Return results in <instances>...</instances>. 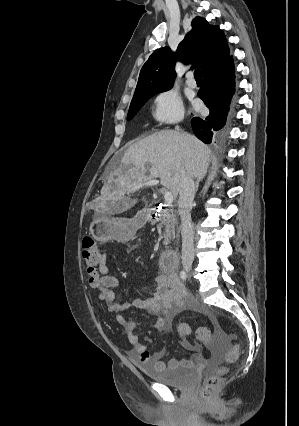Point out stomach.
Wrapping results in <instances>:
<instances>
[{"instance_id":"1","label":"stomach","mask_w":299,"mask_h":426,"mask_svg":"<svg viewBox=\"0 0 299 426\" xmlns=\"http://www.w3.org/2000/svg\"><path fill=\"white\" fill-rule=\"evenodd\" d=\"M89 233L100 242L110 240L126 242L134 235L135 226L129 219L97 215L90 223Z\"/></svg>"}]
</instances>
